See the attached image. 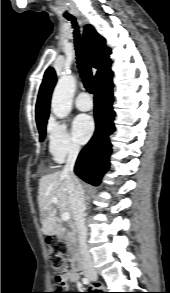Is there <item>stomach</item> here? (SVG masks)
I'll return each instance as SVG.
<instances>
[{
	"instance_id": "1",
	"label": "stomach",
	"mask_w": 170,
	"mask_h": 293,
	"mask_svg": "<svg viewBox=\"0 0 170 293\" xmlns=\"http://www.w3.org/2000/svg\"><path fill=\"white\" fill-rule=\"evenodd\" d=\"M52 234H57V231H53Z\"/></svg>"
}]
</instances>
